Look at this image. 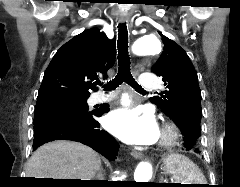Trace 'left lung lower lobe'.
Wrapping results in <instances>:
<instances>
[{
  "mask_svg": "<svg viewBox=\"0 0 240 187\" xmlns=\"http://www.w3.org/2000/svg\"><path fill=\"white\" fill-rule=\"evenodd\" d=\"M184 135V146L189 150H194L195 152H199V147H194L196 144V136L193 131L181 130Z\"/></svg>",
  "mask_w": 240,
  "mask_h": 187,
  "instance_id": "0a47b994",
  "label": "left lung lower lobe"
}]
</instances>
